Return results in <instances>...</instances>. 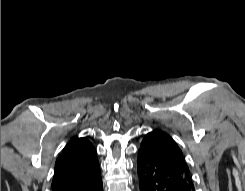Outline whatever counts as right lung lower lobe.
Masks as SVG:
<instances>
[{
	"instance_id": "1",
	"label": "right lung lower lobe",
	"mask_w": 245,
	"mask_h": 191,
	"mask_svg": "<svg viewBox=\"0 0 245 191\" xmlns=\"http://www.w3.org/2000/svg\"><path fill=\"white\" fill-rule=\"evenodd\" d=\"M56 191H103L100 168L97 167L92 173L71 181Z\"/></svg>"
}]
</instances>
